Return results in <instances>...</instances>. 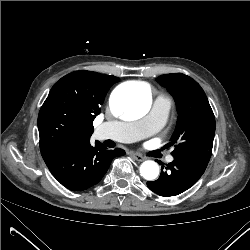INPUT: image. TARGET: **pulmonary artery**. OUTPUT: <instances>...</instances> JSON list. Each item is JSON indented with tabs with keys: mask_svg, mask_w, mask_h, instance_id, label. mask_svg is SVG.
Here are the masks:
<instances>
[{
	"mask_svg": "<svg viewBox=\"0 0 250 250\" xmlns=\"http://www.w3.org/2000/svg\"><path fill=\"white\" fill-rule=\"evenodd\" d=\"M170 108V99L164 95H158L150 112L144 118L133 122H105L98 131H106L103 137L107 139L126 143L135 142L160 130L166 122ZM173 159L172 155L167 157L168 162H172Z\"/></svg>",
	"mask_w": 250,
	"mask_h": 250,
	"instance_id": "1",
	"label": "pulmonary artery"
}]
</instances>
